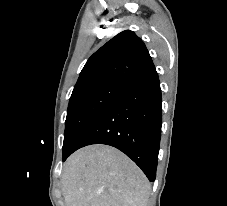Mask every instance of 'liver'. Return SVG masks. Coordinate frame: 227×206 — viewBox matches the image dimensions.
Returning a JSON list of instances; mask_svg holds the SVG:
<instances>
[{
    "label": "liver",
    "instance_id": "6515ba94",
    "mask_svg": "<svg viewBox=\"0 0 227 206\" xmlns=\"http://www.w3.org/2000/svg\"><path fill=\"white\" fill-rule=\"evenodd\" d=\"M150 189L139 167L107 145L84 147L64 165L66 206H147Z\"/></svg>",
    "mask_w": 227,
    "mask_h": 206
}]
</instances>
